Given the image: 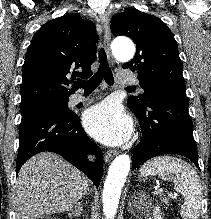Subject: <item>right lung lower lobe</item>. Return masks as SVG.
I'll use <instances>...</instances> for the list:
<instances>
[{
	"mask_svg": "<svg viewBox=\"0 0 211 219\" xmlns=\"http://www.w3.org/2000/svg\"><path fill=\"white\" fill-rule=\"evenodd\" d=\"M43 151L61 155L99 185L103 153L89 139L75 113L51 110L21 120L16 174L30 157ZM88 153L96 156V162L87 160Z\"/></svg>",
	"mask_w": 211,
	"mask_h": 219,
	"instance_id": "98d812e1",
	"label": "right lung lower lobe"
}]
</instances>
